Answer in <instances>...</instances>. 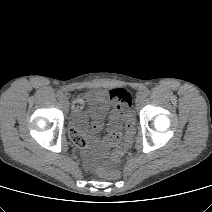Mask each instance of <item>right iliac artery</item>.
Returning a JSON list of instances; mask_svg holds the SVG:
<instances>
[{"instance_id": "right-iliac-artery-1", "label": "right iliac artery", "mask_w": 212, "mask_h": 212, "mask_svg": "<svg viewBox=\"0 0 212 212\" xmlns=\"http://www.w3.org/2000/svg\"><path fill=\"white\" fill-rule=\"evenodd\" d=\"M56 95H57V97L59 98V99H61L62 97H63V93H62V91H57V93H56Z\"/></svg>"}]
</instances>
